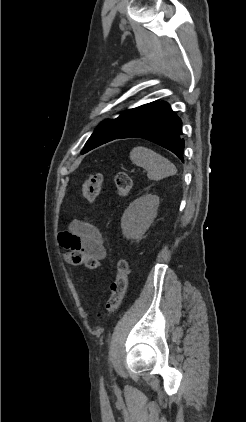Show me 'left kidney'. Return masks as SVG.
<instances>
[{
	"mask_svg": "<svg viewBox=\"0 0 246 422\" xmlns=\"http://www.w3.org/2000/svg\"><path fill=\"white\" fill-rule=\"evenodd\" d=\"M159 197L147 194L133 201L125 210L121 219L124 237L139 240L149 229L157 216Z\"/></svg>",
	"mask_w": 246,
	"mask_h": 422,
	"instance_id": "obj_1",
	"label": "left kidney"
}]
</instances>
